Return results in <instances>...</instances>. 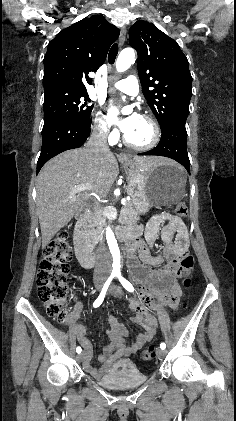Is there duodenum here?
<instances>
[{
	"instance_id": "410a0bca",
	"label": "duodenum",
	"mask_w": 236,
	"mask_h": 421,
	"mask_svg": "<svg viewBox=\"0 0 236 421\" xmlns=\"http://www.w3.org/2000/svg\"><path fill=\"white\" fill-rule=\"evenodd\" d=\"M87 211L81 207L76 214V224L73 229V243L78 261L84 268H92L96 263V258L92 252L88 241L86 240L82 226L86 219ZM118 238L125 242L129 253V267L136 284L140 288V295L146 305L151 309H156L159 302L166 306L173 307L179 298L176 287V279L179 274V252L176 245L166 248L165 256L170 258V265L167 268L151 269L148 265H157L161 262L163 256H150L145 244L140 239V232L133 228H122L117 231ZM139 251L144 264H141L133 255L134 251ZM138 321L142 324L146 332L140 336L134 346L143 344L149 335V324L144 315ZM79 341H84L83 330L73 329ZM113 343L104 348V354L99 355V361L105 365L101 369H95L89 364L91 358L89 348L84 359L85 369L94 377L99 378L109 368L117 357L130 352L131 348L124 345L123 336L125 333L118 328L108 331ZM117 348L113 354L112 351Z\"/></svg>"
}]
</instances>
